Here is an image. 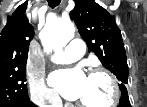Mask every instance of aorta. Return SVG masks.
Instances as JSON below:
<instances>
[{
    "instance_id": "1",
    "label": "aorta",
    "mask_w": 147,
    "mask_h": 107,
    "mask_svg": "<svg viewBox=\"0 0 147 107\" xmlns=\"http://www.w3.org/2000/svg\"><path fill=\"white\" fill-rule=\"evenodd\" d=\"M75 26L69 21H48L40 33L44 51L50 53L54 49L64 47L73 37Z\"/></svg>"
}]
</instances>
